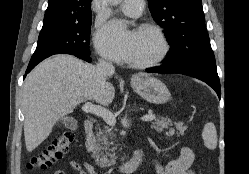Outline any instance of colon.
<instances>
[{
    "mask_svg": "<svg viewBox=\"0 0 249 174\" xmlns=\"http://www.w3.org/2000/svg\"><path fill=\"white\" fill-rule=\"evenodd\" d=\"M75 135L72 131L61 133L46 149L35 154L28 163L31 170H43L51 166L65 154L73 144Z\"/></svg>",
    "mask_w": 249,
    "mask_h": 174,
    "instance_id": "obj_1",
    "label": "colon"
}]
</instances>
